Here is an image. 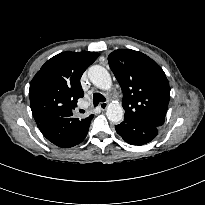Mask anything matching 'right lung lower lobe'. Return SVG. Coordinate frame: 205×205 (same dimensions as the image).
<instances>
[{"label":"right lung lower lobe","mask_w":205,"mask_h":205,"mask_svg":"<svg viewBox=\"0 0 205 205\" xmlns=\"http://www.w3.org/2000/svg\"><path fill=\"white\" fill-rule=\"evenodd\" d=\"M92 117L93 115L89 120H87V123L83 130L73 138L67 137L65 133L66 123L68 120L67 118L52 117L46 119L38 124V128L40 129L42 134L53 144L62 148H69L79 144L85 139Z\"/></svg>","instance_id":"obj_1"}]
</instances>
